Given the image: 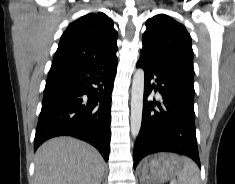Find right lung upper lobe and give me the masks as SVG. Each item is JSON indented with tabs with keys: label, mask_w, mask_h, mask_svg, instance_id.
Here are the masks:
<instances>
[{
	"label": "right lung upper lobe",
	"mask_w": 235,
	"mask_h": 184,
	"mask_svg": "<svg viewBox=\"0 0 235 184\" xmlns=\"http://www.w3.org/2000/svg\"><path fill=\"white\" fill-rule=\"evenodd\" d=\"M117 31L104 13L87 14L62 34L53 68L100 67L118 62Z\"/></svg>",
	"instance_id": "1"
}]
</instances>
